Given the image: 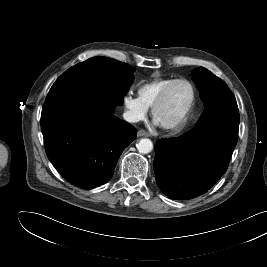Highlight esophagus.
Wrapping results in <instances>:
<instances>
[{
	"mask_svg": "<svg viewBox=\"0 0 267 267\" xmlns=\"http://www.w3.org/2000/svg\"><path fill=\"white\" fill-rule=\"evenodd\" d=\"M138 137H143V136H149V134L145 130H139L137 132Z\"/></svg>",
	"mask_w": 267,
	"mask_h": 267,
	"instance_id": "esophagus-1",
	"label": "esophagus"
}]
</instances>
